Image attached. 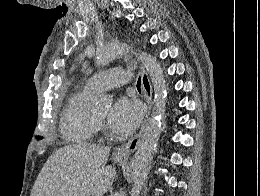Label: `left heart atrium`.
I'll return each instance as SVG.
<instances>
[{
    "mask_svg": "<svg viewBox=\"0 0 260 196\" xmlns=\"http://www.w3.org/2000/svg\"><path fill=\"white\" fill-rule=\"evenodd\" d=\"M142 118V108L138 101L126 97L119 98L107 118L108 126L121 135H128L138 127Z\"/></svg>",
    "mask_w": 260,
    "mask_h": 196,
    "instance_id": "39dd6f15",
    "label": "left heart atrium"
}]
</instances>
